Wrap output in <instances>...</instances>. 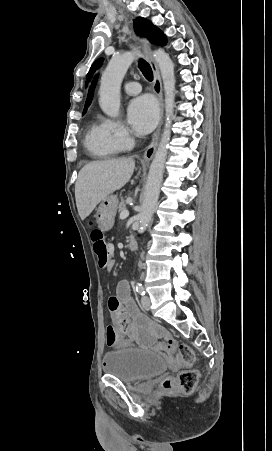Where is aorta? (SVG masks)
I'll use <instances>...</instances> for the list:
<instances>
[{"mask_svg": "<svg viewBox=\"0 0 272 451\" xmlns=\"http://www.w3.org/2000/svg\"><path fill=\"white\" fill-rule=\"evenodd\" d=\"M138 52H125L122 56H113L102 74L99 88V106L110 118H117L120 110V86L131 64L136 60ZM157 62L165 92V128L158 144L155 158L150 166L144 200L139 214L140 231L148 226L158 202L163 172L168 154V142L171 134L173 110L175 106L174 64L164 50H156L153 54Z\"/></svg>", "mask_w": 272, "mask_h": 451, "instance_id": "762f6f07", "label": "aorta"}]
</instances>
